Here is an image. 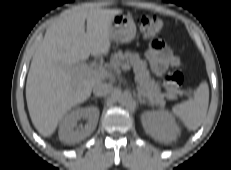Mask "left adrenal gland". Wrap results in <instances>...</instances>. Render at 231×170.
Masks as SVG:
<instances>
[{
    "label": "left adrenal gland",
    "mask_w": 231,
    "mask_h": 170,
    "mask_svg": "<svg viewBox=\"0 0 231 170\" xmlns=\"http://www.w3.org/2000/svg\"><path fill=\"white\" fill-rule=\"evenodd\" d=\"M138 100L140 104H151L150 102H147L144 98H142L140 94H138Z\"/></svg>",
    "instance_id": "a2214340"
}]
</instances>
